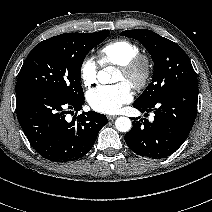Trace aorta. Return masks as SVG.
I'll return each instance as SVG.
<instances>
[{
  "label": "aorta",
  "instance_id": "1",
  "mask_svg": "<svg viewBox=\"0 0 212 212\" xmlns=\"http://www.w3.org/2000/svg\"><path fill=\"white\" fill-rule=\"evenodd\" d=\"M109 71L110 68H106L98 73V79L101 83H106L109 81ZM115 126L120 132H128L132 127V123L128 117L121 116L116 119Z\"/></svg>",
  "mask_w": 212,
  "mask_h": 212
}]
</instances>
